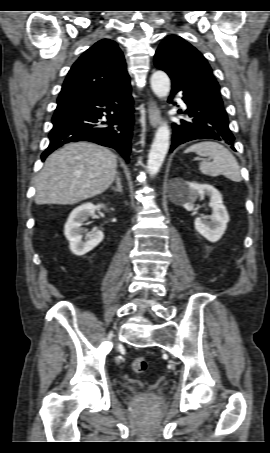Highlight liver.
Wrapping results in <instances>:
<instances>
[{
	"mask_svg": "<svg viewBox=\"0 0 270 453\" xmlns=\"http://www.w3.org/2000/svg\"><path fill=\"white\" fill-rule=\"evenodd\" d=\"M116 156L88 142L65 145L52 153L36 177L37 205H72L103 193L112 184Z\"/></svg>",
	"mask_w": 270,
	"mask_h": 453,
	"instance_id": "1",
	"label": "liver"
}]
</instances>
